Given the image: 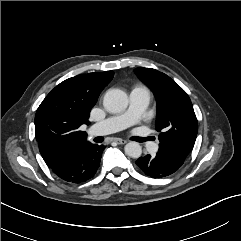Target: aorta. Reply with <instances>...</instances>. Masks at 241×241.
<instances>
[{
  "label": "aorta",
  "mask_w": 241,
  "mask_h": 241,
  "mask_svg": "<svg viewBox=\"0 0 241 241\" xmlns=\"http://www.w3.org/2000/svg\"><path fill=\"white\" fill-rule=\"evenodd\" d=\"M103 105L110 113L122 112L128 106V96L120 89H109L104 96ZM124 150L131 158H139L142 154V147L134 141L127 143Z\"/></svg>",
  "instance_id": "aorta-1"
}]
</instances>
